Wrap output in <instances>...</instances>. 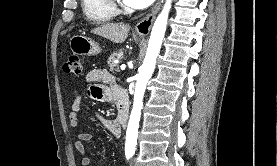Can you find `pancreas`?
Returning a JSON list of instances; mask_svg holds the SVG:
<instances>
[{
	"label": "pancreas",
	"mask_w": 277,
	"mask_h": 166,
	"mask_svg": "<svg viewBox=\"0 0 277 166\" xmlns=\"http://www.w3.org/2000/svg\"><path fill=\"white\" fill-rule=\"evenodd\" d=\"M122 55H123L122 50H118L110 55L107 63H108V66L110 67L111 72L119 70V65L116 64L114 61L116 58H122Z\"/></svg>",
	"instance_id": "obj_1"
}]
</instances>
